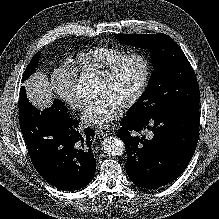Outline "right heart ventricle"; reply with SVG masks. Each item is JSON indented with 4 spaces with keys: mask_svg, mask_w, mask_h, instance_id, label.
<instances>
[{
    "mask_svg": "<svg viewBox=\"0 0 219 219\" xmlns=\"http://www.w3.org/2000/svg\"><path fill=\"white\" fill-rule=\"evenodd\" d=\"M127 53L126 50L118 47H96L77 53L70 62L74 71L99 77Z\"/></svg>",
    "mask_w": 219,
    "mask_h": 219,
    "instance_id": "right-heart-ventricle-1",
    "label": "right heart ventricle"
}]
</instances>
